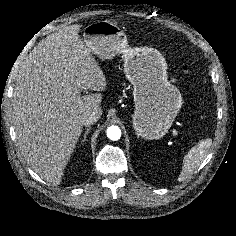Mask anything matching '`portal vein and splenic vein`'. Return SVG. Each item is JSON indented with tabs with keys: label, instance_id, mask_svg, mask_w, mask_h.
<instances>
[{
	"label": "portal vein and splenic vein",
	"instance_id": "1",
	"mask_svg": "<svg viewBox=\"0 0 236 236\" xmlns=\"http://www.w3.org/2000/svg\"><path fill=\"white\" fill-rule=\"evenodd\" d=\"M173 134H174L175 136H179V134H178L177 131H174Z\"/></svg>",
	"mask_w": 236,
	"mask_h": 236
}]
</instances>
